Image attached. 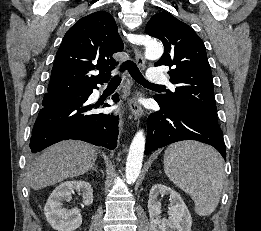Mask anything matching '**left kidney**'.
I'll list each match as a JSON object with an SVG mask.
<instances>
[{
	"mask_svg": "<svg viewBox=\"0 0 261 231\" xmlns=\"http://www.w3.org/2000/svg\"><path fill=\"white\" fill-rule=\"evenodd\" d=\"M169 195L168 219H161V202L158 196ZM148 210L152 231H191L192 218L180 195L173 189L155 184L149 194Z\"/></svg>",
	"mask_w": 261,
	"mask_h": 231,
	"instance_id": "left-kidney-1",
	"label": "left kidney"
}]
</instances>
